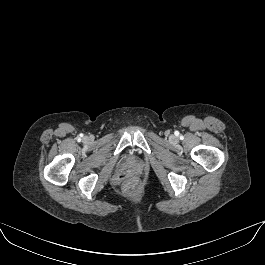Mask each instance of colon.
Segmentation results:
<instances>
[{
	"mask_svg": "<svg viewBox=\"0 0 265 265\" xmlns=\"http://www.w3.org/2000/svg\"><path fill=\"white\" fill-rule=\"evenodd\" d=\"M137 188V183L136 182H130L126 185V189L128 191H134Z\"/></svg>",
	"mask_w": 265,
	"mask_h": 265,
	"instance_id": "colon-1",
	"label": "colon"
}]
</instances>
